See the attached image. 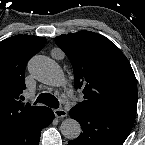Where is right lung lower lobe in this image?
Segmentation results:
<instances>
[{
    "label": "right lung lower lobe",
    "mask_w": 145,
    "mask_h": 145,
    "mask_svg": "<svg viewBox=\"0 0 145 145\" xmlns=\"http://www.w3.org/2000/svg\"><path fill=\"white\" fill-rule=\"evenodd\" d=\"M53 119V111L46 107L31 118L1 133L0 145H38L41 130L47 127Z\"/></svg>",
    "instance_id": "98d812e1"
}]
</instances>
